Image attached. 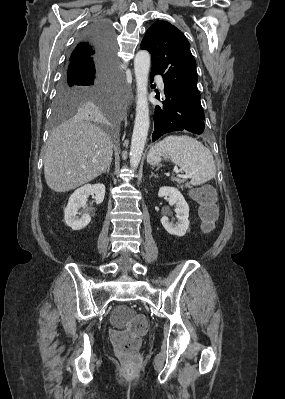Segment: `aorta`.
<instances>
[{
    "mask_svg": "<svg viewBox=\"0 0 285 399\" xmlns=\"http://www.w3.org/2000/svg\"><path fill=\"white\" fill-rule=\"evenodd\" d=\"M150 60V54L146 50L139 51L134 59L137 104L130 147V166L132 168H137L140 163L150 125L148 106V74Z\"/></svg>",
    "mask_w": 285,
    "mask_h": 399,
    "instance_id": "obj_1",
    "label": "aorta"
}]
</instances>
